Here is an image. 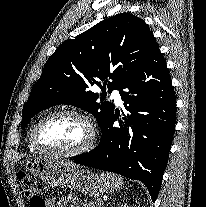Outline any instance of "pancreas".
I'll return each mask as SVG.
<instances>
[{"label": "pancreas", "mask_w": 206, "mask_h": 207, "mask_svg": "<svg viewBox=\"0 0 206 207\" xmlns=\"http://www.w3.org/2000/svg\"><path fill=\"white\" fill-rule=\"evenodd\" d=\"M98 203H100V200L97 201H90V202H85L83 204L84 207H100V205H98Z\"/></svg>", "instance_id": "pancreas-1"}]
</instances>
